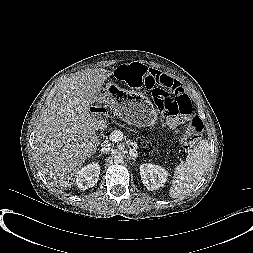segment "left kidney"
Returning a JSON list of instances; mask_svg holds the SVG:
<instances>
[{
  "label": "left kidney",
  "mask_w": 253,
  "mask_h": 253,
  "mask_svg": "<svg viewBox=\"0 0 253 253\" xmlns=\"http://www.w3.org/2000/svg\"><path fill=\"white\" fill-rule=\"evenodd\" d=\"M141 180L148 190L159 189L167 181L168 172L161 166L144 163L140 166Z\"/></svg>",
  "instance_id": "left-kidney-1"
}]
</instances>
